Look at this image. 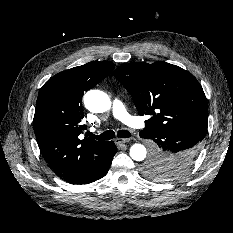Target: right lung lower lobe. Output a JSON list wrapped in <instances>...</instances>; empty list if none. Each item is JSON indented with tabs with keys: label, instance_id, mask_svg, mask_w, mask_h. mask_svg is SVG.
<instances>
[{
	"label": "right lung lower lobe",
	"instance_id": "right-lung-lower-lobe-1",
	"mask_svg": "<svg viewBox=\"0 0 233 233\" xmlns=\"http://www.w3.org/2000/svg\"><path fill=\"white\" fill-rule=\"evenodd\" d=\"M113 141H106L99 149L86 155L60 177L72 184H87L106 175L116 154Z\"/></svg>",
	"mask_w": 233,
	"mask_h": 233
}]
</instances>
